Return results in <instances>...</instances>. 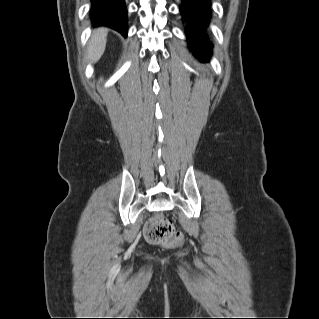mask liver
I'll list each match as a JSON object with an SVG mask.
<instances>
[{"label": "liver", "mask_w": 319, "mask_h": 319, "mask_svg": "<svg viewBox=\"0 0 319 319\" xmlns=\"http://www.w3.org/2000/svg\"><path fill=\"white\" fill-rule=\"evenodd\" d=\"M108 30L105 28H99L95 30L91 36L88 46V59L95 63L103 55L106 47V37Z\"/></svg>", "instance_id": "6515ba94"}]
</instances>
